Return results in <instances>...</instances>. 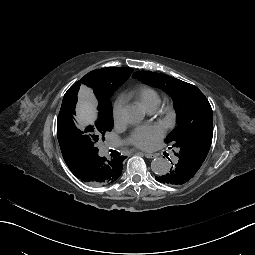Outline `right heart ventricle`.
I'll return each mask as SVG.
<instances>
[{
	"label": "right heart ventricle",
	"instance_id": "1",
	"mask_svg": "<svg viewBox=\"0 0 255 255\" xmlns=\"http://www.w3.org/2000/svg\"><path fill=\"white\" fill-rule=\"evenodd\" d=\"M137 100L139 104L148 112H156L160 105L161 97L156 88L145 85L140 87L137 91Z\"/></svg>",
	"mask_w": 255,
	"mask_h": 255
}]
</instances>
